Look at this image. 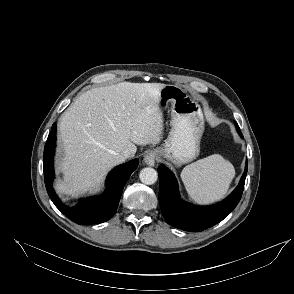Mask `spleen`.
Instances as JSON below:
<instances>
[{"label":"spleen","instance_id":"1","mask_svg":"<svg viewBox=\"0 0 294 294\" xmlns=\"http://www.w3.org/2000/svg\"><path fill=\"white\" fill-rule=\"evenodd\" d=\"M235 176L233 165L213 154L184 167L181 179L189 196L199 204L220 200Z\"/></svg>","mask_w":294,"mask_h":294}]
</instances>
